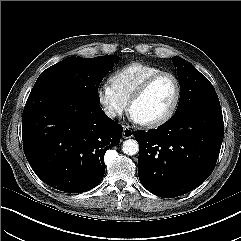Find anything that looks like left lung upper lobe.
<instances>
[{"instance_id": "1", "label": "left lung upper lobe", "mask_w": 241, "mask_h": 241, "mask_svg": "<svg viewBox=\"0 0 241 241\" xmlns=\"http://www.w3.org/2000/svg\"><path fill=\"white\" fill-rule=\"evenodd\" d=\"M180 78L181 95L176 113L191 107H220L217 93L210 81L192 64L180 57L171 58Z\"/></svg>"}]
</instances>
